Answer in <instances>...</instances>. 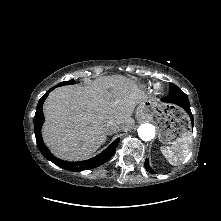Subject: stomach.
<instances>
[{
  "mask_svg": "<svg viewBox=\"0 0 221 221\" xmlns=\"http://www.w3.org/2000/svg\"><path fill=\"white\" fill-rule=\"evenodd\" d=\"M140 120L154 121L158 126V138L163 144H173L189 128L187 115L175 105L162 103L159 99H146L136 110Z\"/></svg>",
  "mask_w": 221,
  "mask_h": 221,
  "instance_id": "stomach-1",
  "label": "stomach"
}]
</instances>
